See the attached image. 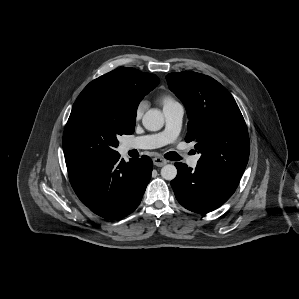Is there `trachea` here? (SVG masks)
<instances>
[{"label": "trachea", "mask_w": 299, "mask_h": 299, "mask_svg": "<svg viewBox=\"0 0 299 299\" xmlns=\"http://www.w3.org/2000/svg\"><path fill=\"white\" fill-rule=\"evenodd\" d=\"M164 157L172 161H179L181 159V157L176 152H168L164 155Z\"/></svg>", "instance_id": "trachea-1"}]
</instances>
